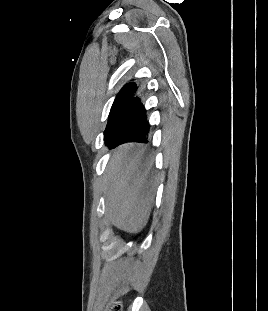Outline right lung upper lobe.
<instances>
[{"instance_id":"obj_1","label":"right lung upper lobe","mask_w":268,"mask_h":311,"mask_svg":"<svg viewBox=\"0 0 268 311\" xmlns=\"http://www.w3.org/2000/svg\"><path fill=\"white\" fill-rule=\"evenodd\" d=\"M123 88H136V85L134 83H128Z\"/></svg>"}]
</instances>
